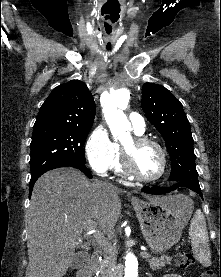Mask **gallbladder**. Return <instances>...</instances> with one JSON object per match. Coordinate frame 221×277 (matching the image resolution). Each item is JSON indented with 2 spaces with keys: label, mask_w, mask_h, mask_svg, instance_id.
I'll list each match as a JSON object with an SVG mask.
<instances>
[{
  "label": "gallbladder",
  "mask_w": 221,
  "mask_h": 277,
  "mask_svg": "<svg viewBox=\"0 0 221 277\" xmlns=\"http://www.w3.org/2000/svg\"><path fill=\"white\" fill-rule=\"evenodd\" d=\"M89 258V255L85 251H79L76 253L70 267L73 269H79L84 266Z\"/></svg>",
  "instance_id": "bac80fb5"
}]
</instances>
